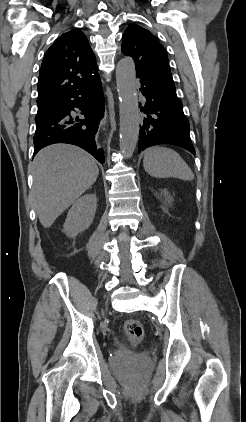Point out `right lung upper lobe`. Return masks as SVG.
<instances>
[{"label":"right lung upper lobe","mask_w":246,"mask_h":422,"mask_svg":"<svg viewBox=\"0 0 246 422\" xmlns=\"http://www.w3.org/2000/svg\"><path fill=\"white\" fill-rule=\"evenodd\" d=\"M95 55L79 29L62 34L46 52L38 79V110L87 86L99 74Z\"/></svg>","instance_id":"cb5924a9"}]
</instances>
